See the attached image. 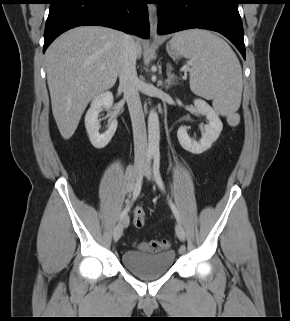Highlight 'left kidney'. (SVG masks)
<instances>
[{
  "mask_svg": "<svg viewBox=\"0 0 290 321\" xmlns=\"http://www.w3.org/2000/svg\"><path fill=\"white\" fill-rule=\"evenodd\" d=\"M194 105L197 112L206 115L209 124L205 126V133L202 135L200 141L191 139L186 131V127L181 126L177 131V137L180 145L187 151L194 154H201L209 149L213 142H215L222 129L223 124L218 114L210 107V105L202 100L195 99Z\"/></svg>",
  "mask_w": 290,
  "mask_h": 321,
  "instance_id": "5707ae66",
  "label": "left kidney"
}]
</instances>
